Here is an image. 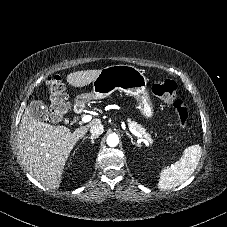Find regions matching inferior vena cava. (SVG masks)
<instances>
[{"mask_svg": "<svg viewBox=\"0 0 227 227\" xmlns=\"http://www.w3.org/2000/svg\"><path fill=\"white\" fill-rule=\"evenodd\" d=\"M103 132H104V126L101 123L94 124L90 129V133L94 136H99Z\"/></svg>", "mask_w": 227, "mask_h": 227, "instance_id": "1", "label": "inferior vena cava"}]
</instances>
